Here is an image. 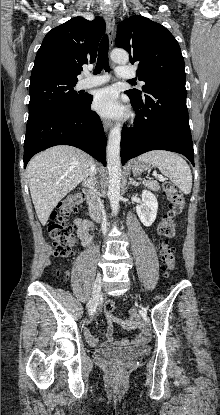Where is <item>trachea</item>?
I'll use <instances>...</instances> for the list:
<instances>
[{"instance_id": "1", "label": "trachea", "mask_w": 220, "mask_h": 415, "mask_svg": "<svg viewBox=\"0 0 220 415\" xmlns=\"http://www.w3.org/2000/svg\"><path fill=\"white\" fill-rule=\"evenodd\" d=\"M108 50H109L108 36L104 35L99 45L98 59H97V63L95 66L94 74H99L102 71V69L109 71ZM129 82L135 83L136 81L129 80Z\"/></svg>"}]
</instances>
